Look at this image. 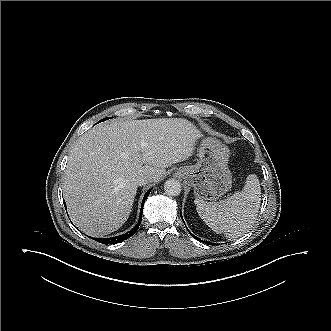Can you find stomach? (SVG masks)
Instances as JSON below:
<instances>
[{"instance_id":"obj_1","label":"stomach","mask_w":331,"mask_h":331,"mask_svg":"<svg viewBox=\"0 0 331 331\" xmlns=\"http://www.w3.org/2000/svg\"><path fill=\"white\" fill-rule=\"evenodd\" d=\"M199 162L180 167L176 174L194 190L198 201H215L232 185L228 168L229 149L215 138H204L198 148Z\"/></svg>"}]
</instances>
